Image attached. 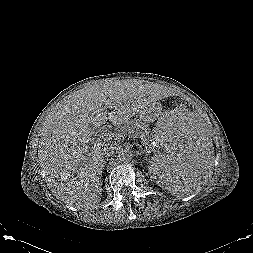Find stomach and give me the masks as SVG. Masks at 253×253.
<instances>
[{
	"label": "stomach",
	"mask_w": 253,
	"mask_h": 253,
	"mask_svg": "<svg viewBox=\"0 0 253 253\" xmlns=\"http://www.w3.org/2000/svg\"><path fill=\"white\" fill-rule=\"evenodd\" d=\"M159 112L152 105L145 107L139 112L140 119L145 122H152L158 117Z\"/></svg>",
	"instance_id": "1"
}]
</instances>
